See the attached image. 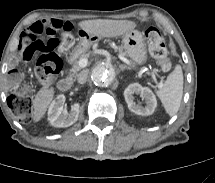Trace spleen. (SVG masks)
Returning <instances> with one entry per match:
<instances>
[{
  "label": "spleen",
  "mask_w": 215,
  "mask_h": 183,
  "mask_svg": "<svg viewBox=\"0 0 215 183\" xmlns=\"http://www.w3.org/2000/svg\"><path fill=\"white\" fill-rule=\"evenodd\" d=\"M156 94L170 116L178 112L183 95V72L180 65H177L167 76L166 81L156 91Z\"/></svg>",
  "instance_id": "3e777b00"
}]
</instances>
